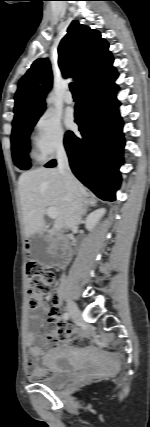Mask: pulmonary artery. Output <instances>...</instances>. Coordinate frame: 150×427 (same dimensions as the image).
I'll return each mask as SVG.
<instances>
[{
    "instance_id": "obj_1",
    "label": "pulmonary artery",
    "mask_w": 150,
    "mask_h": 427,
    "mask_svg": "<svg viewBox=\"0 0 150 427\" xmlns=\"http://www.w3.org/2000/svg\"><path fill=\"white\" fill-rule=\"evenodd\" d=\"M63 100L67 104H72L73 103V96L71 95L70 92H67V93H65Z\"/></svg>"
}]
</instances>
